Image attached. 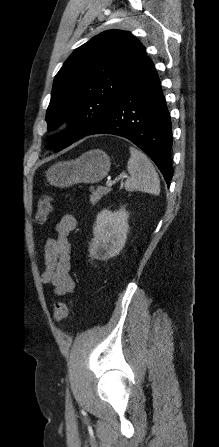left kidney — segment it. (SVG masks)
<instances>
[{
	"label": "left kidney",
	"instance_id": "obj_1",
	"mask_svg": "<svg viewBox=\"0 0 219 447\" xmlns=\"http://www.w3.org/2000/svg\"><path fill=\"white\" fill-rule=\"evenodd\" d=\"M128 217L125 209L116 212L102 210L97 215L94 238L89 245L91 257L106 260L119 254L127 238Z\"/></svg>",
	"mask_w": 219,
	"mask_h": 447
}]
</instances>
